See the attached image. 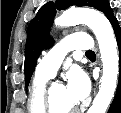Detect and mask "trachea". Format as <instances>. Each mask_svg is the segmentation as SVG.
<instances>
[{
  "instance_id": "1",
  "label": "trachea",
  "mask_w": 121,
  "mask_h": 113,
  "mask_svg": "<svg viewBox=\"0 0 121 113\" xmlns=\"http://www.w3.org/2000/svg\"><path fill=\"white\" fill-rule=\"evenodd\" d=\"M86 54H94V52L91 50V51H87Z\"/></svg>"
}]
</instances>
